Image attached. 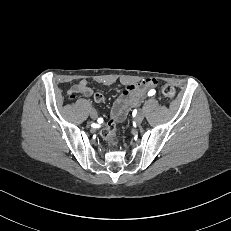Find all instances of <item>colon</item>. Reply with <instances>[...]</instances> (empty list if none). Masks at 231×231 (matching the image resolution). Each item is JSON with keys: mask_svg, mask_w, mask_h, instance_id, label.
<instances>
[{"mask_svg": "<svg viewBox=\"0 0 231 231\" xmlns=\"http://www.w3.org/2000/svg\"><path fill=\"white\" fill-rule=\"evenodd\" d=\"M161 92L166 98L169 99L174 98L176 95L174 87L169 84L163 85L161 88ZM118 123V119H111L101 132L102 137L112 146H116L119 143V139L116 135Z\"/></svg>", "mask_w": 231, "mask_h": 231, "instance_id": "colon-1", "label": "colon"}]
</instances>
